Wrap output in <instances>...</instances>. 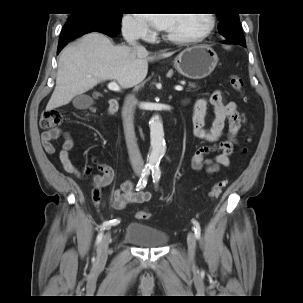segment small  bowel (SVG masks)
I'll list each match as a JSON object with an SVG mask.
<instances>
[{
	"mask_svg": "<svg viewBox=\"0 0 303 303\" xmlns=\"http://www.w3.org/2000/svg\"><path fill=\"white\" fill-rule=\"evenodd\" d=\"M208 103L214 107V118L210 128L205 127ZM244 119L245 117L239 110L238 105L235 102H226L220 91H214L208 97L197 98L193 105L192 131L197 138L207 142L209 145L200 146L195 150L190 158L191 168L194 171L205 170L214 173L220 167L229 166L236 135ZM226 122L229 124V132L226 138L223 139L222 133ZM62 136L63 132L59 128L44 131L41 140L45 152L48 154L56 153L54 141ZM72 146V139L67 138L57 152L58 158L65 171L81 177L80 171L73 165L69 157ZM212 153L216 154L210 156ZM99 170L100 173L95 174L91 178L92 185L96 188L110 185L114 179L113 169L106 164H100ZM151 197V193L137 190L132 180H125L107 195V199L116 209H123L128 205L149 201Z\"/></svg>",
	"mask_w": 303,
	"mask_h": 303,
	"instance_id": "1",
	"label": "small bowel"
}]
</instances>
